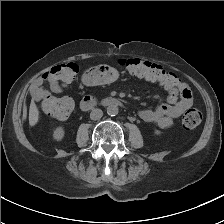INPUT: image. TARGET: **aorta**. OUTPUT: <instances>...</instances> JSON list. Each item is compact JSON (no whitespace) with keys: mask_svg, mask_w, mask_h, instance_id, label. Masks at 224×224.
I'll use <instances>...</instances> for the list:
<instances>
[{"mask_svg":"<svg viewBox=\"0 0 224 224\" xmlns=\"http://www.w3.org/2000/svg\"><path fill=\"white\" fill-rule=\"evenodd\" d=\"M107 114L110 116H115L118 114V107L116 105H109L107 107Z\"/></svg>","mask_w":224,"mask_h":224,"instance_id":"obj_1","label":"aorta"}]
</instances>
